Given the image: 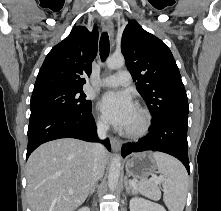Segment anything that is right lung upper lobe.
<instances>
[{"mask_svg": "<svg viewBox=\"0 0 221 211\" xmlns=\"http://www.w3.org/2000/svg\"><path fill=\"white\" fill-rule=\"evenodd\" d=\"M98 30L74 27L69 36L52 48L37 76L33 91L49 88L82 89L97 54Z\"/></svg>", "mask_w": 221, "mask_h": 211, "instance_id": "right-lung-upper-lobe-1", "label": "right lung upper lobe"}]
</instances>
